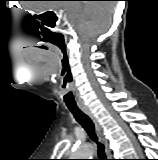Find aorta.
Wrapping results in <instances>:
<instances>
[{
    "label": "aorta",
    "mask_w": 158,
    "mask_h": 160,
    "mask_svg": "<svg viewBox=\"0 0 158 160\" xmlns=\"http://www.w3.org/2000/svg\"><path fill=\"white\" fill-rule=\"evenodd\" d=\"M94 149L90 144L79 146L72 154V159H91Z\"/></svg>",
    "instance_id": "1"
}]
</instances>
